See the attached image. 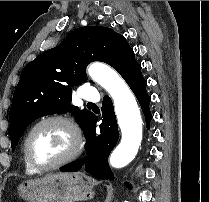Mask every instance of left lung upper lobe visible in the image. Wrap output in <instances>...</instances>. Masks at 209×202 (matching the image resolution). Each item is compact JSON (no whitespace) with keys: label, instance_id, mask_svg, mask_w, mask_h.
Listing matches in <instances>:
<instances>
[{"label":"left lung upper lobe","instance_id":"left-lung-upper-lobe-1","mask_svg":"<svg viewBox=\"0 0 209 202\" xmlns=\"http://www.w3.org/2000/svg\"><path fill=\"white\" fill-rule=\"evenodd\" d=\"M93 61L109 64L122 77L138 65L123 35L102 26H85L23 68L9 113L12 150L31 122L49 114L71 111L85 133L95 115L70 103L72 87L87 81L86 66Z\"/></svg>","mask_w":209,"mask_h":202}]
</instances>
